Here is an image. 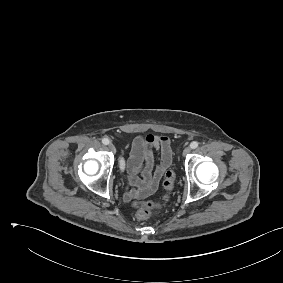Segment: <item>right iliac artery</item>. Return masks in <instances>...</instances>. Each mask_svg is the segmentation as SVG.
I'll use <instances>...</instances> for the list:
<instances>
[{
	"label": "right iliac artery",
	"instance_id": "obj_1",
	"mask_svg": "<svg viewBox=\"0 0 283 283\" xmlns=\"http://www.w3.org/2000/svg\"><path fill=\"white\" fill-rule=\"evenodd\" d=\"M102 143H103L104 145H108V144L110 143V141H109L108 138H103V139H102ZM124 167H125V162H124L123 159H120V168H121V169H124Z\"/></svg>",
	"mask_w": 283,
	"mask_h": 283
}]
</instances>
